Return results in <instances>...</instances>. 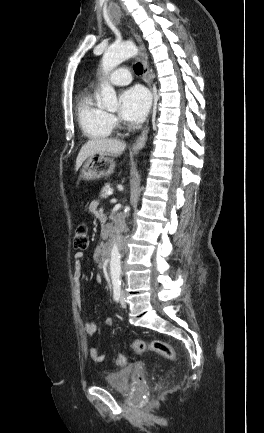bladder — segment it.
I'll use <instances>...</instances> for the list:
<instances>
[{"mask_svg":"<svg viewBox=\"0 0 264 433\" xmlns=\"http://www.w3.org/2000/svg\"><path fill=\"white\" fill-rule=\"evenodd\" d=\"M129 377V370L110 372L105 376L104 386L118 393H127L130 388Z\"/></svg>","mask_w":264,"mask_h":433,"instance_id":"bladder-1","label":"bladder"}]
</instances>
